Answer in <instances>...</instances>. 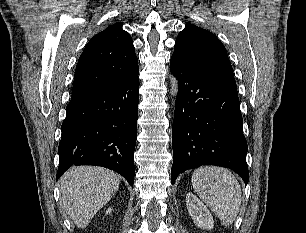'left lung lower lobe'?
Wrapping results in <instances>:
<instances>
[{
	"label": "left lung lower lobe",
	"mask_w": 306,
	"mask_h": 233,
	"mask_svg": "<svg viewBox=\"0 0 306 233\" xmlns=\"http://www.w3.org/2000/svg\"><path fill=\"white\" fill-rule=\"evenodd\" d=\"M179 80L172 129V183L179 173L202 165L230 168L248 183L247 142L235 80L195 70L172 56Z\"/></svg>",
	"instance_id": "1"
}]
</instances>
